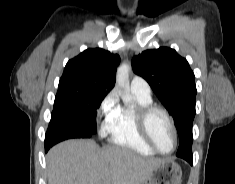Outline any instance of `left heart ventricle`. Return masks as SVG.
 <instances>
[{
  "mask_svg": "<svg viewBox=\"0 0 235 184\" xmlns=\"http://www.w3.org/2000/svg\"><path fill=\"white\" fill-rule=\"evenodd\" d=\"M150 128L157 148L163 153H170L174 148L175 139L165 116L160 112L154 113L150 120Z\"/></svg>",
  "mask_w": 235,
  "mask_h": 184,
  "instance_id": "b2bd125f",
  "label": "left heart ventricle"
}]
</instances>
